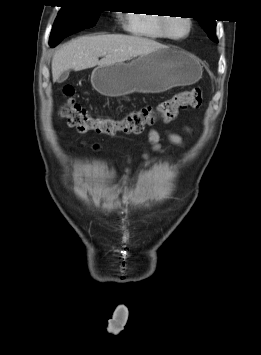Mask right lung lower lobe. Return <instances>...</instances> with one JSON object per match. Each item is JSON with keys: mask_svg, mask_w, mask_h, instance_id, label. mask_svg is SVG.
<instances>
[{"mask_svg": "<svg viewBox=\"0 0 261 355\" xmlns=\"http://www.w3.org/2000/svg\"><path fill=\"white\" fill-rule=\"evenodd\" d=\"M60 41H56V42H49L51 47H54L55 45H57Z\"/></svg>", "mask_w": 261, "mask_h": 355, "instance_id": "1", "label": "right lung lower lobe"}]
</instances>
